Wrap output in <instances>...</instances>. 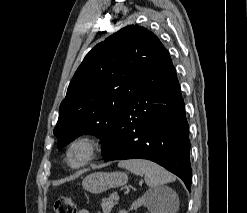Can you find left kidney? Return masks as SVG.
Listing matches in <instances>:
<instances>
[{"mask_svg":"<svg viewBox=\"0 0 247 213\" xmlns=\"http://www.w3.org/2000/svg\"><path fill=\"white\" fill-rule=\"evenodd\" d=\"M164 200V190L147 191L133 202L131 209L137 210L139 207L145 206L151 213H163L161 206Z\"/></svg>","mask_w":247,"mask_h":213,"instance_id":"obj_1","label":"left kidney"}]
</instances>
